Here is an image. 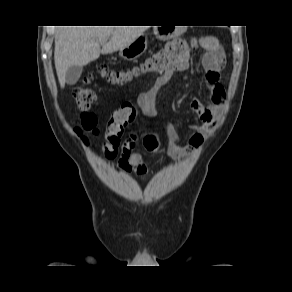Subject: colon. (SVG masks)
<instances>
[{
  "mask_svg": "<svg viewBox=\"0 0 292 292\" xmlns=\"http://www.w3.org/2000/svg\"><path fill=\"white\" fill-rule=\"evenodd\" d=\"M190 48L181 40L173 41L150 56L139 71L163 75L177 64L185 62ZM133 71H113L102 67L99 74L114 84H121L133 75ZM93 74L86 76L81 83L73 88V97L81 110V124L75 131L87 143L88 136L98 133L97 118L89 109L98 100L96 92L90 87ZM158 89L152 88L140 96L137 104L123 103L115 109L106 125L103 155L107 159L114 158L118 152L125 128L138 115L152 118L158 112ZM145 151L149 156H156L161 151L160 142L155 134L146 133L143 138Z\"/></svg>",
  "mask_w": 292,
  "mask_h": 292,
  "instance_id": "obj_1",
  "label": "colon"
}]
</instances>
